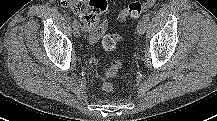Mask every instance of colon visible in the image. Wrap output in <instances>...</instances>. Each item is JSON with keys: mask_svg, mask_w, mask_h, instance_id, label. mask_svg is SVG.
<instances>
[{"mask_svg": "<svg viewBox=\"0 0 217 121\" xmlns=\"http://www.w3.org/2000/svg\"><path fill=\"white\" fill-rule=\"evenodd\" d=\"M156 0H144L143 2L131 3L118 16L119 21L125 20L127 17H139L144 12L153 7ZM62 6L69 12L77 14L84 26L94 32L100 34L104 31L103 15L107 10L106 0H61ZM119 35H107L103 38L102 45L105 50L113 52L116 50L119 41ZM121 68L119 59L113 60L109 66L103 71L106 78L114 76ZM102 90L110 93L114 90V84L109 80H104Z\"/></svg>", "mask_w": 217, "mask_h": 121, "instance_id": "5ec220e1", "label": "colon"}]
</instances>
